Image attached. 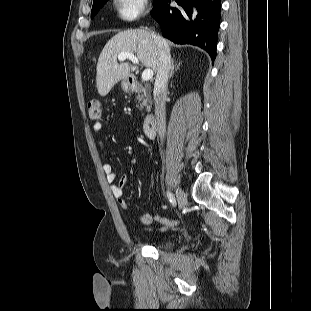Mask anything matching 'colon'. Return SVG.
Segmentation results:
<instances>
[{
  "label": "colon",
  "mask_w": 311,
  "mask_h": 311,
  "mask_svg": "<svg viewBox=\"0 0 311 311\" xmlns=\"http://www.w3.org/2000/svg\"><path fill=\"white\" fill-rule=\"evenodd\" d=\"M88 116L94 121H99L103 118V108L99 100L94 99L89 101Z\"/></svg>",
  "instance_id": "colon-1"
}]
</instances>
